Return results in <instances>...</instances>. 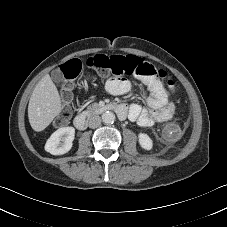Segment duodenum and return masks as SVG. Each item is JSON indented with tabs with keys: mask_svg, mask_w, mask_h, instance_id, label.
Segmentation results:
<instances>
[{
	"mask_svg": "<svg viewBox=\"0 0 227 227\" xmlns=\"http://www.w3.org/2000/svg\"><path fill=\"white\" fill-rule=\"evenodd\" d=\"M101 111L113 110L120 118H126L127 109L121 104H107L100 107ZM89 124V117L86 114L78 115L74 119V126L78 130H85Z\"/></svg>",
	"mask_w": 227,
	"mask_h": 227,
	"instance_id": "410a0bca",
	"label": "duodenum"
}]
</instances>
